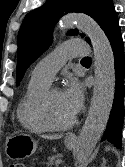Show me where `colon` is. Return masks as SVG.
Listing matches in <instances>:
<instances>
[{"label": "colon", "instance_id": "1", "mask_svg": "<svg viewBox=\"0 0 125 167\" xmlns=\"http://www.w3.org/2000/svg\"><path fill=\"white\" fill-rule=\"evenodd\" d=\"M8 167H27V165L22 161H13Z\"/></svg>", "mask_w": 125, "mask_h": 167}]
</instances>
